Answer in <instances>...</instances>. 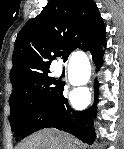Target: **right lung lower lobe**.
I'll return each instance as SVG.
<instances>
[{
  "instance_id": "98d812e1",
  "label": "right lung lower lobe",
  "mask_w": 124,
  "mask_h": 149,
  "mask_svg": "<svg viewBox=\"0 0 124 149\" xmlns=\"http://www.w3.org/2000/svg\"><path fill=\"white\" fill-rule=\"evenodd\" d=\"M102 46L106 47L105 39L89 50L97 68H100L102 64L104 53ZM63 86V84L59 83L47 103L31 117L21 135L22 138L40 129L54 127L76 136L84 143H92L94 141L93 120L96 117L97 110L98 82L95 81L94 84V104L84 111H75L69 105L68 99L63 95Z\"/></svg>"
}]
</instances>
